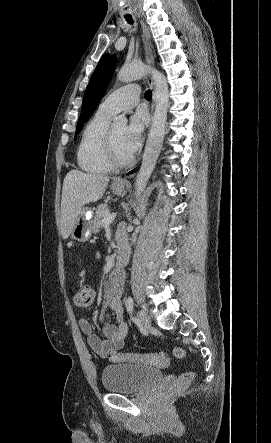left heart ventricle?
<instances>
[{
  "label": "left heart ventricle",
  "instance_id": "b2bd125f",
  "mask_svg": "<svg viewBox=\"0 0 271 443\" xmlns=\"http://www.w3.org/2000/svg\"><path fill=\"white\" fill-rule=\"evenodd\" d=\"M125 129H126L125 126H117V127L113 128L112 131H113L115 144H116L119 154L122 157L127 158V157H130L131 155H129L123 148V137H124Z\"/></svg>",
  "mask_w": 271,
  "mask_h": 443
}]
</instances>
